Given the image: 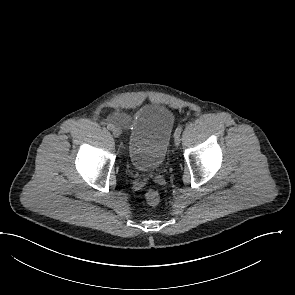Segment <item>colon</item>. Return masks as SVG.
<instances>
[{
  "instance_id": "colon-1",
  "label": "colon",
  "mask_w": 295,
  "mask_h": 295,
  "mask_svg": "<svg viewBox=\"0 0 295 295\" xmlns=\"http://www.w3.org/2000/svg\"><path fill=\"white\" fill-rule=\"evenodd\" d=\"M146 201L149 205H157L160 200L159 193L156 190H148L145 194Z\"/></svg>"
}]
</instances>
